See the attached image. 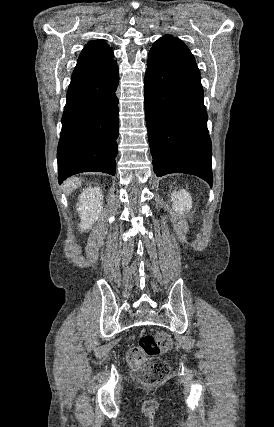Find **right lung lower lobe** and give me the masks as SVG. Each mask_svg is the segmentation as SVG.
I'll return each mask as SVG.
<instances>
[{
  "instance_id": "1",
  "label": "right lung lower lobe",
  "mask_w": 274,
  "mask_h": 427,
  "mask_svg": "<svg viewBox=\"0 0 274 427\" xmlns=\"http://www.w3.org/2000/svg\"><path fill=\"white\" fill-rule=\"evenodd\" d=\"M116 61L98 72L72 76L58 144V180L87 171L115 175L119 132Z\"/></svg>"
}]
</instances>
